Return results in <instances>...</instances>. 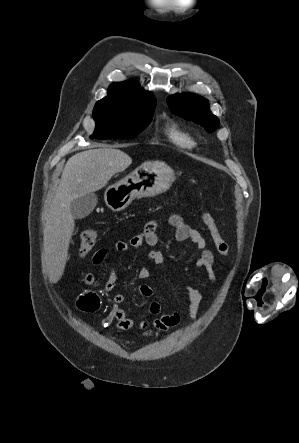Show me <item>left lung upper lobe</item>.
I'll use <instances>...</instances> for the list:
<instances>
[{"label": "left lung upper lobe", "instance_id": "left-lung-upper-lobe-1", "mask_svg": "<svg viewBox=\"0 0 299 443\" xmlns=\"http://www.w3.org/2000/svg\"><path fill=\"white\" fill-rule=\"evenodd\" d=\"M171 112L201 125L209 133L219 127V119L209 109L207 99L192 93L170 95L167 98Z\"/></svg>", "mask_w": 299, "mask_h": 443}]
</instances>
